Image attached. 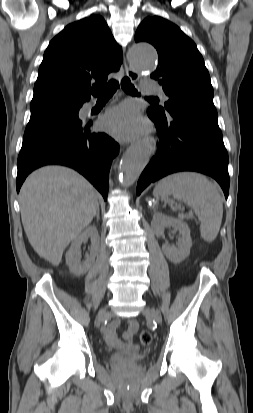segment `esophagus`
<instances>
[{
	"label": "esophagus",
	"mask_w": 253,
	"mask_h": 413,
	"mask_svg": "<svg viewBox=\"0 0 253 413\" xmlns=\"http://www.w3.org/2000/svg\"><path fill=\"white\" fill-rule=\"evenodd\" d=\"M125 70H126V74L127 76L134 82L139 80V74L133 70L132 68H130L126 63H125ZM149 146H150V150L151 152H153L155 150V143L153 141V139L151 138L149 140Z\"/></svg>",
	"instance_id": "esophagus-1"
}]
</instances>
